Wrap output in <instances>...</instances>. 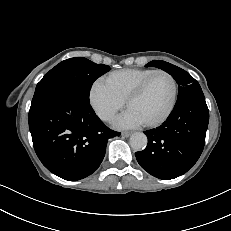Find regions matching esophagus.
Listing matches in <instances>:
<instances>
[{
  "instance_id": "1",
  "label": "esophagus",
  "mask_w": 231,
  "mask_h": 231,
  "mask_svg": "<svg viewBox=\"0 0 231 231\" xmlns=\"http://www.w3.org/2000/svg\"><path fill=\"white\" fill-rule=\"evenodd\" d=\"M131 135V132H122V136L129 137Z\"/></svg>"
}]
</instances>
